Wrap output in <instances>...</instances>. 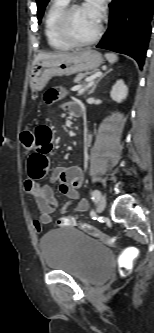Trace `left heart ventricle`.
Here are the masks:
<instances>
[{"mask_svg": "<svg viewBox=\"0 0 154 333\" xmlns=\"http://www.w3.org/2000/svg\"><path fill=\"white\" fill-rule=\"evenodd\" d=\"M99 19L84 6L76 8L70 17V29L75 37L86 40L94 36L99 26Z\"/></svg>", "mask_w": 154, "mask_h": 333, "instance_id": "b2bd125f", "label": "left heart ventricle"}]
</instances>
